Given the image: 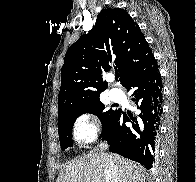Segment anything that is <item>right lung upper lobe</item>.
I'll return each mask as SVG.
<instances>
[{
  "label": "right lung upper lobe",
  "mask_w": 196,
  "mask_h": 182,
  "mask_svg": "<svg viewBox=\"0 0 196 182\" xmlns=\"http://www.w3.org/2000/svg\"><path fill=\"white\" fill-rule=\"evenodd\" d=\"M154 57L141 29L123 9L102 10L91 32L67 50L61 69L58 115L99 97L108 84L102 70L110 64L121 74L125 87L130 78Z\"/></svg>",
  "instance_id": "1"
}]
</instances>
